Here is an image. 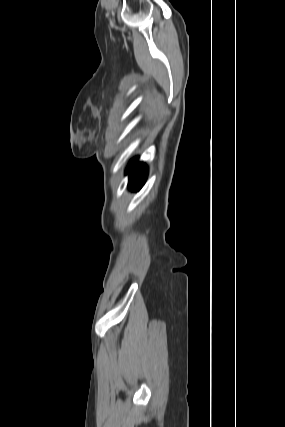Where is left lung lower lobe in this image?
<instances>
[{
    "mask_svg": "<svg viewBox=\"0 0 285 427\" xmlns=\"http://www.w3.org/2000/svg\"><path fill=\"white\" fill-rule=\"evenodd\" d=\"M126 173L130 174L129 187L132 190L140 189L146 181L147 168L143 163H138V159L135 158L131 161L128 166Z\"/></svg>",
    "mask_w": 285,
    "mask_h": 427,
    "instance_id": "left-lung-lower-lobe-1",
    "label": "left lung lower lobe"
}]
</instances>
